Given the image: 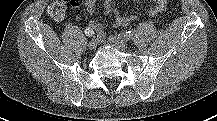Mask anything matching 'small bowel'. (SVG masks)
I'll use <instances>...</instances> for the list:
<instances>
[{
  "label": "small bowel",
  "mask_w": 217,
  "mask_h": 121,
  "mask_svg": "<svg viewBox=\"0 0 217 121\" xmlns=\"http://www.w3.org/2000/svg\"><path fill=\"white\" fill-rule=\"evenodd\" d=\"M98 0H84V5L89 14H94L96 11V4ZM134 2H139L141 0H133ZM154 6L149 9L148 15L153 17L157 15L159 12L165 10L167 6V0H153ZM70 4L72 7L77 5L76 0H70ZM103 9L105 15H114L113 27L120 28L125 27L131 23V21L135 20V16H125L119 13L114 6L113 0H104L103 1ZM90 28L93 31L98 32L101 35V39L104 38L103 25L97 20H92L89 24Z\"/></svg>",
  "instance_id": "small-bowel-1"
}]
</instances>
